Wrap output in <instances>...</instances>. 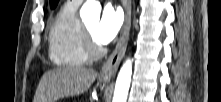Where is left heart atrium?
<instances>
[{
    "label": "left heart atrium",
    "instance_id": "left-heart-atrium-1",
    "mask_svg": "<svg viewBox=\"0 0 221 102\" xmlns=\"http://www.w3.org/2000/svg\"><path fill=\"white\" fill-rule=\"evenodd\" d=\"M123 24L121 10L107 5L102 12L101 18L96 26L94 38L98 43L107 44L112 41Z\"/></svg>",
    "mask_w": 221,
    "mask_h": 102
}]
</instances>
